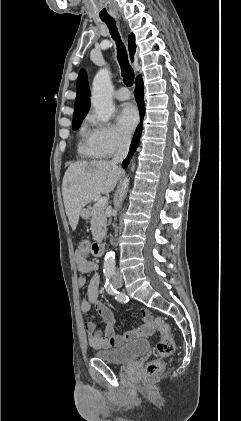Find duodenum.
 I'll list each match as a JSON object with an SVG mask.
<instances>
[{"instance_id":"1","label":"duodenum","mask_w":241,"mask_h":421,"mask_svg":"<svg viewBox=\"0 0 241 421\" xmlns=\"http://www.w3.org/2000/svg\"><path fill=\"white\" fill-rule=\"evenodd\" d=\"M91 247L94 249V255L95 256H102L105 251V244L102 238L98 237L94 240Z\"/></svg>"}]
</instances>
